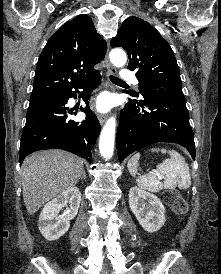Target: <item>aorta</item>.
<instances>
[{
	"mask_svg": "<svg viewBox=\"0 0 221 274\" xmlns=\"http://www.w3.org/2000/svg\"><path fill=\"white\" fill-rule=\"evenodd\" d=\"M110 61L115 67H123L127 61L126 53L122 49H113L110 52ZM115 130L116 120L111 117L106 121L99 139V150L105 159H110L113 155Z\"/></svg>",
	"mask_w": 221,
	"mask_h": 274,
	"instance_id": "762f6f07",
	"label": "aorta"
}]
</instances>
